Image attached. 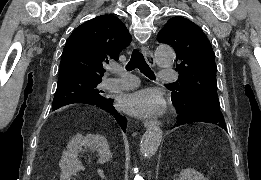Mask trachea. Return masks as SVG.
I'll return each instance as SVG.
<instances>
[{"label": "trachea", "mask_w": 261, "mask_h": 180, "mask_svg": "<svg viewBox=\"0 0 261 180\" xmlns=\"http://www.w3.org/2000/svg\"><path fill=\"white\" fill-rule=\"evenodd\" d=\"M135 68H138L143 75L150 78L151 80L155 79L154 72L151 70L149 65L145 62L144 56L139 51V49H134L129 63L126 65L128 71H132Z\"/></svg>", "instance_id": "trachea-1"}]
</instances>
